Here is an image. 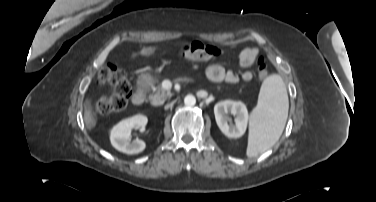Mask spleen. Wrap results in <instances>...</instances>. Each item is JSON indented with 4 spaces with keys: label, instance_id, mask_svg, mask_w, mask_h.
Here are the masks:
<instances>
[{
    "label": "spleen",
    "instance_id": "obj_1",
    "mask_svg": "<svg viewBox=\"0 0 376 202\" xmlns=\"http://www.w3.org/2000/svg\"><path fill=\"white\" fill-rule=\"evenodd\" d=\"M288 108V95L281 76L270 75L262 83L257 106L250 116L248 157H256L278 141L285 127Z\"/></svg>",
    "mask_w": 376,
    "mask_h": 202
}]
</instances>
